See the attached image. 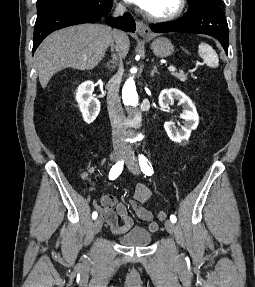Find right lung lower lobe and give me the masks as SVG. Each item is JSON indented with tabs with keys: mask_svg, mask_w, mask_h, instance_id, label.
I'll list each match as a JSON object with an SVG mask.
<instances>
[{
	"mask_svg": "<svg viewBox=\"0 0 255 287\" xmlns=\"http://www.w3.org/2000/svg\"><path fill=\"white\" fill-rule=\"evenodd\" d=\"M112 8V7H111ZM109 8L104 14L95 13L86 8L65 9L50 12L37 18L34 26L33 52L43 39L55 30L82 23H95L104 18L111 10ZM109 26L128 31H135V22L129 13L120 18H105Z\"/></svg>",
	"mask_w": 255,
	"mask_h": 287,
	"instance_id": "obj_1",
	"label": "right lung lower lobe"
}]
</instances>
